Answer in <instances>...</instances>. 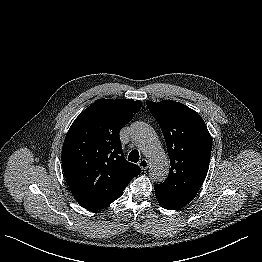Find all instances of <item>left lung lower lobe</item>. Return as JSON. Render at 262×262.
<instances>
[{"label": "left lung lower lobe", "mask_w": 262, "mask_h": 262, "mask_svg": "<svg viewBox=\"0 0 262 262\" xmlns=\"http://www.w3.org/2000/svg\"><path fill=\"white\" fill-rule=\"evenodd\" d=\"M154 188L157 200L159 201L160 205L165 209L177 210L186 206L188 203L192 201L187 198L180 197L171 194L170 192L164 191L157 185H154Z\"/></svg>", "instance_id": "0a47b994"}]
</instances>
